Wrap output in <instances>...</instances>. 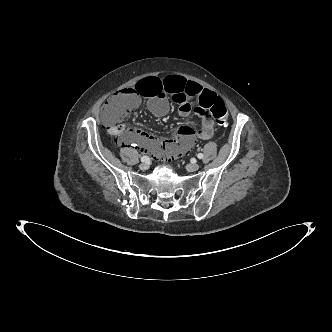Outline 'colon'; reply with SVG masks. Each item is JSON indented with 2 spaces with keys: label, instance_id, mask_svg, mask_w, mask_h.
Masks as SVG:
<instances>
[{
  "label": "colon",
  "instance_id": "colon-1",
  "mask_svg": "<svg viewBox=\"0 0 332 332\" xmlns=\"http://www.w3.org/2000/svg\"><path fill=\"white\" fill-rule=\"evenodd\" d=\"M155 76V75H153ZM151 77V76H150ZM133 87V86H132ZM139 105V96L132 89H125L116 94L106 103L103 108V121L111 129L118 134L117 141L121 142L122 127L120 122L127 115L137 109ZM210 112L219 126H226L229 120L227 107L223 100L215 97L210 105ZM208 117V110L203 105H196L185 118L179 121V128L182 131L193 130L199 122H203ZM184 149L170 152L166 155V161H173L180 154L184 153Z\"/></svg>",
  "mask_w": 332,
  "mask_h": 332
}]
</instances>
